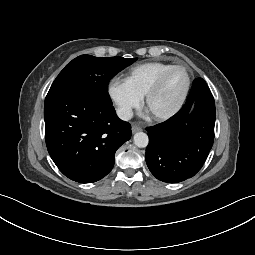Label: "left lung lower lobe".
Here are the masks:
<instances>
[{
  "mask_svg": "<svg viewBox=\"0 0 255 255\" xmlns=\"http://www.w3.org/2000/svg\"><path fill=\"white\" fill-rule=\"evenodd\" d=\"M214 125L213 95L206 82L196 78L180 111L167 121L147 128L150 141L145 159L151 173L168 183L193 177L212 148Z\"/></svg>",
  "mask_w": 255,
  "mask_h": 255,
  "instance_id": "left-lung-lower-lobe-1",
  "label": "left lung lower lobe"
}]
</instances>
